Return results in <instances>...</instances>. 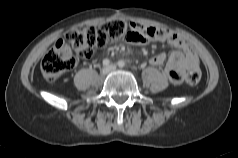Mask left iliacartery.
Here are the masks:
<instances>
[{
  "label": "left iliac artery",
  "mask_w": 238,
  "mask_h": 158,
  "mask_svg": "<svg viewBox=\"0 0 238 158\" xmlns=\"http://www.w3.org/2000/svg\"><path fill=\"white\" fill-rule=\"evenodd\" d=\"M126 65V63L123 61V60H120V61H118V66L119 67H124Z\"/></svg>",
  "instance_id": "left-iliac-artery-1"
}]
</instances>
